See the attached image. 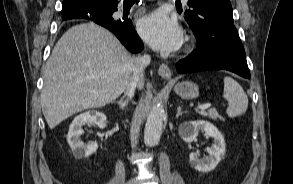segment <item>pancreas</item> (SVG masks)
<instances>
[{
    "instance_id": "cf45deb5",
    "label": "pancreas",
    "mask_w": 293,
    "mask_h": 184,
    "mask_svg": "<svg viewBox=\"0 0 293 184\" xmlns=\"http://www.w3.org/2000/svg\"><path fill=\"white\" fill-rule=\"evenodd\" d=\"M201 114L213 120H217V119L224 120V118L218 114L216 109H210L209 111L202 112Z\"/></svg>"
}]
</instances>
